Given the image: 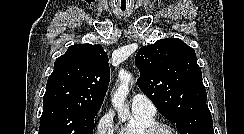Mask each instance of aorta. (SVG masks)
Masks as SVG:
<instances>
[{"label":"aorta","mask_w":244,"mask_h":134,"mask_svg":"<svg viewBox=\"0 0 244 134\" xmlns=\"http://www.w3.org/2000/svg\"><path fill=\"white\" fill-rule=\"evenodd\" d=\"M119 85L114 90L111 96L112 105L118 112V117L121 120H126L130 116L129 108L125 104L126 97L129 92L130 84L133 81L132 74L126 71L119 72Z\"/></svg>","instance_id":"762f6f07"}]
</instances>
